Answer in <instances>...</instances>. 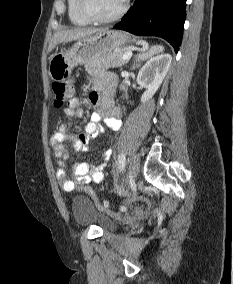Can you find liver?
<instances>
[{
    "label": "liver",
    "instance_id": "6515ba94",
    "mask_svg": "<svg viewBox=\"0 0 233 284\" xmlns=\"http://www.w3.org/2000/svg\"><path fill=\"white\" fill-rule=\"evenodd\" d=\"M102 30L103 29L96 28H72L67 30H59L54 33L48 46V52H51L60 43L80 40L82 38L94 35Z\"/></svg>",
    "mask_w": 233,
    "mask_h": 284
}]
</instances>
